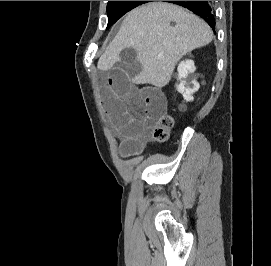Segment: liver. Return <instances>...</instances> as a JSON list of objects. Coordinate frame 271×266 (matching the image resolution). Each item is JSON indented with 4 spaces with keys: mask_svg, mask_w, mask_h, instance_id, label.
<instances>
[{
    "mask_svg": "<svg viewBox=\"0 0 271 266\" xmlns=\"http://www.w3.org/2000/svg\"><path fill=\"white\" fill-rule=\"evenodd\" d=\"M212 39L211 28L198 16L174 4L149 3L127 14L97 67L102 71L103 67H113V62L120 61L122 50L133 48L145 72L136 75L132 82L162 88L186 53Z\"/></svg>",
    "mask_w": 271,
    "mask_h": 266,
    "instance_id": "obj_1",
    "label": "liver"
}]
</instances>
